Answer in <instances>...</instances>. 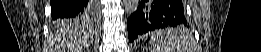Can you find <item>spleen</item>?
<instances>
[{"label":"spleen","instance_id":"obj_1","mask_svg":"<svg viewBox=\"0 0 261 52\" xmlns=\"http://www.w3.org/2000/svg\"><path fill=\"white\" fill-rule=\"evenodd\" d=\"M151 39L153 52H181L183 46L187 44L186 37L180 28L156 31Z\"/></svg>","mask_w":261,"mask_h":52}]
</instances>
